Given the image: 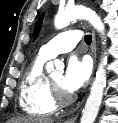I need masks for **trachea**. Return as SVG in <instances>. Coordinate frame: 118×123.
Segmentation results:
<instances>
[{
	"instance_id": "3493384b",
	"label": "trachea",
	"mask_w": 118,
	"mask_h": 123,
	"mask_svg": "<svg viewBox=\"0 0 118 123\" xmlns=\"http://www.w3.org/2000/svg\"><path fill=\"white\" fill-rule=\"evenodd\" d=\"M84 40L86 44H91L92 36L91 35H85Z\"/></svg>"
}]
</instances>
